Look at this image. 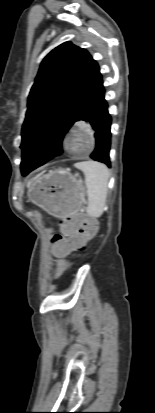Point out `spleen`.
Returning <instances> with one entry per match:
<instances>
[{
    "label": "spleen",
    "instance_id": "1",
    "mask_svg": "<svg viewBox=\"0 0 155 413\" xmlns=\"http://www.w3.org/2000/svg\"><path fill=\"white\" fill-rule=\"evenodd\" d=\"M75 167L85 176L88 195L86 212L92 218H99L106 207L109 170L104 164L95 161L78 162Z\"/></svg>",
    "mask_w": 155,
    "mask_h": 413
}]
</instances>
